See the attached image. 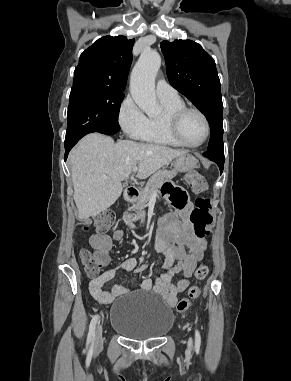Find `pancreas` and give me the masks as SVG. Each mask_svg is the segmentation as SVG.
I'll return each mask as SVG.
<instances>
[{
  "label": "pancreas",
  "instance_id": "cf45deb5",
  "mask_svg": "<svg viewBox=\"0 0 291 381\" xmlns=\"http://www.w3.org/2000/svg\"><path fill=\"white\" fill-rule=\"evenodd\" d=\"M177 174L176 171H168V170H159L153 176L150 177L146 186L141 190L140 197L136 204L131 207V210L135 212V214H129L126 212L124 214V222L130 228H135L133 222L145 218V207L151 196L158 191L165 181L171 180Z\"/></svg>",
  "mask_w": 291,
  "mask_h": 381
}]
</instances>
